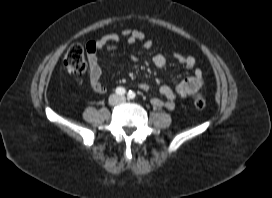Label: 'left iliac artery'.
Returning a JSON list of instances; mask_svg holds the SVG:
<instances>
[{
	"instance_id": "44dca946",
	"label": "left iliac artery",
	"mask_w": 272,
	"mask_h": 198,
	"mask_svg": "<svg viewBox=\"0 0 272 198\" xmlns=\"http://www.w3.org/2000/svg\"><path fill=\"white\" fill-rule=\"evenodd\" d=\"M127 96H128L129 99H134L136 95H135V93L133 91H129Z\"/></svg>"
}]
</instances>
